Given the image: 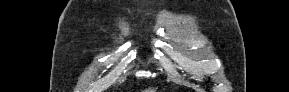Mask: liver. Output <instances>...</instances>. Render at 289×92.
<instances>
[{
    "instance_id": "liver-1",
    "label": "liver",
    "mask_w": 289,
    "mask_h": 92,
    "mask_svg": "<svg viewBox=\"0 0 289 92\" xmlns=\"http://www.w3.org/2000/svg\"><path fill=\"white\" fill-rule=\"evenodd\" d=\"M149 92H155V89H149Z\"/></svg>"
}]
</instances>
